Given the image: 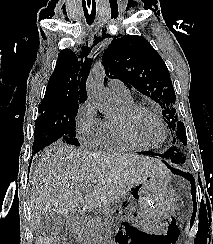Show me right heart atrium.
Masks as SVG:
<instances>
[{"label":"right heart atrium","instance_id":"right-heart-atrium-1","mask_svg":"<svg viewBox=\"0 0 213 244\" xmlns=\"http://www.w3.org/2000/svg\"><path fill=\"white\" fill-rule=\"evenodd\" d=\"M103 120L98 116L97 109L91 101L80 105L75 118L76 134L87 145H97Z\"/></svg>","mask_w":213,"mask_h":244}]
</instances>
